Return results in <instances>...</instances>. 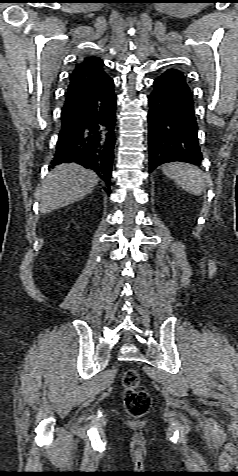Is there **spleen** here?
<instances>
[{
	"mask_svg": "<svg viewBox=\"0 0 238 476\" xmlns=\"http://www.w3.org/2000/svg\"><path fill=\"white\" fill-rule=\"evenodd\" d=\"M163 173L179 187L194 195H201L205 190L203 172L188 163H170L162 166Z\"/></svg>",
	"mask_w": 238,
	"mask_h": 476,
	"instance_id": "obj_1",
	"label": "spleen"
}]
</instances>
